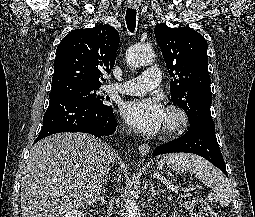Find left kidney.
Masks as SVG:
<instances>
[{
	"instance_id": "5707ae66",
	"label": "left kidney",
	"mask_w": 255,
	"mask_h": 217,
	"mask_svg": "<svg viewBox=\"0 0 255 217\" xmlns=\"http://www.w3.org/2000/svg\"><path fill=\"white\" fill-rule=\"evenodd\" d=\"M171 217H177L176 215H172Z\"/></svg>"
}]
</instances>
